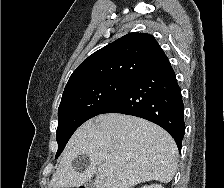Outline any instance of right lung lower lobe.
Returning <instances> with one entry per match:
<instances>
[{
    "label": "right lung lower lobe",
    "instance_id": "98d812e1",
    "mask_svg": "<svg viewBox=\"0 0 224 188\" xmlns=\"http://www.w3.org/2000/svg\"><path fill=\"white\" fill-rule=\"evenodd\" d=\"M122 113L164 128L181 150L185 134L181 89L168 58L133 79L131 85L100 114Z\"/></svg>",
    "mask_w": 224,
    "mask_h": 188
}]
</instances>
